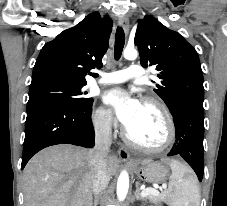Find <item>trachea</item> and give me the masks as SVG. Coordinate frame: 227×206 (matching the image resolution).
Instances as JSON below:
<instances>
[{"instance_id": "trachea-1", "label": "trachea", "mask_w": 227, "mask_h": 206, "mask_svg": "<svg viewBox=\"0 0 227 206\" xmlns=\"http://www.w3.org/2000/svg\"><path fill=\"white\" fill-rule=\"evenodd\" d=\"M125 44V34L122 27H118L115 36L114 57L120 59Z\"/></svg>"}]
</instances>
